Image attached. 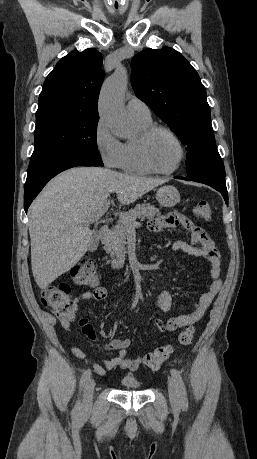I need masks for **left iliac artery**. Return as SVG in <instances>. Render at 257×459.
Wrapping results in <instances>:
<instances>
[{
	"mask_svg": "<svg viewBox=\"0 0 257 459\" xmlns=\"http://www.w3.org/2000/svg\"><path fill=\"white\" fill-rule=\"evenodd\" d=\"M171 375L177 385L181 406L184 410H186L188 408V399L182 376L176 369H171Z\"/></svg>",
	"mask_w": 257,
	"mask_h": 459,
	"instance_id": "left-iliac-artery-1",
	"label": "left iliac artery"
}]
</instances>
